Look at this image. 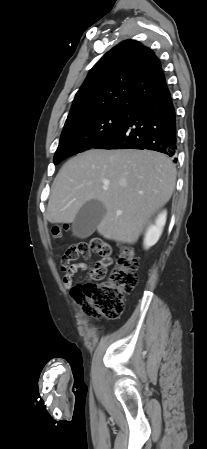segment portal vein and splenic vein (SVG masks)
<instances>
[{
  "mask_svg": "<svg viewBox=\"0 0 207 449\" xmlns=\"http://www.w3.org/2000/svg\"><path fill=\"white\" fill-rule=\"evenodd\" d=\"M108 188V183H105V185L103 186V189H107Z\"/></svg>",
  "mask_w": 207,
  "mask_h": 449,
  "instance_id": "portal-vein-and-splenic-vein-1",
  "label": "portal vein and splenic vein"
}]
</instances>
